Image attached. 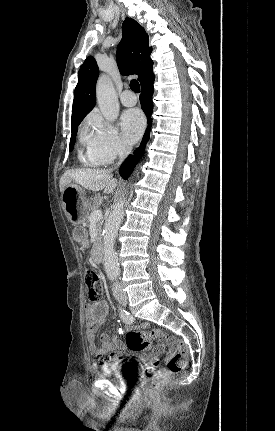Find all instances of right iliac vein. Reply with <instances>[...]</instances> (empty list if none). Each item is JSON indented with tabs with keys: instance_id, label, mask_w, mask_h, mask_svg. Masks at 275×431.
I'll return each instance as SVG.
<instances>
[{
	"instance_id": "63e3f726",
	"label": "right iliac vein",
	"mask_w": 275,
	"mask_h": 431,
	"mask_svg": "<svg viewBox=\"0 0 275 431\" xmlns=\"http://www.w3.org/2000/svg\"><path fill=\"white\" fill-rule=\"evenodd\" d=\"M118 299H119L121 302L123 301L122 296H118Z\"/></svg>"
}]
</instances>
